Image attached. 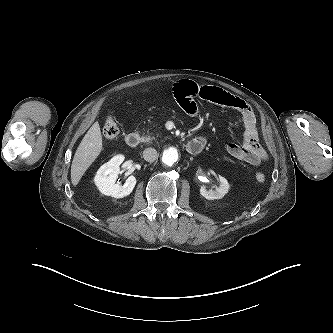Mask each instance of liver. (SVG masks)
<instances>
[{"instance_id":"6515ba94","label":"liver","mask_w":333,"mask_h":333,"mask_svg":"<svg viewBox=\"0 0 333 333\" xmlns=\"http://www.w3.org/2000/svg\"><path fill=\"white\" fill-rule=\"evenodd\" d=\"M102 150V135L95 122L79 144L71 165V182L76 186Z\"/></svg>"}]
</instances>
